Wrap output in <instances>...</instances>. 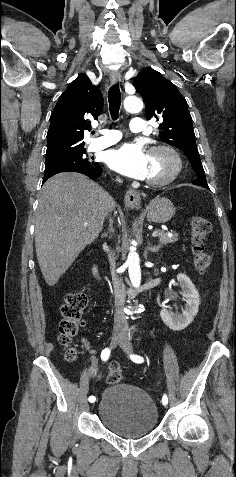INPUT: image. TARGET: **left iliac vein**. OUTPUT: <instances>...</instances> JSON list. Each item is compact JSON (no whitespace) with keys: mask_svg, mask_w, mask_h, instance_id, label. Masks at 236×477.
<instances>
[{"mask_svg":"<svg viewBox=\"0 0 236 477\" xmlns=\"http://www.w3.org/2000/svg\"><path fill=\"white\" fill-rule=\"evenodd\" d=\"M119 344H120V347L124 350V352L126 354L129 355L130 353H132V351H133L132 345L130 344V342L125 337L123 338V340ZM161 407L166 412L169 409V406L166 402H163L161 404Z\"/></svg>","mask_w":236,"mask_h":477,"instance_id":"4c4485c4","label":"left iliac vein"}]
</instances>
